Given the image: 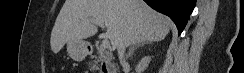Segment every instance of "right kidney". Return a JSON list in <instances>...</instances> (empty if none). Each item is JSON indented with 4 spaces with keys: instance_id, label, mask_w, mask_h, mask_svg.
<instances>
[{
    "instance_id": "right-kidney-1",
    "label": "right kidney",
    "mask_w": 244,
    "mask_h": 73,
    "mask_svg": "<svg viewBox=\"0 0 244 73\" xmlns=\"http://www.w3.org/2000/svg\"><path fill=\"white\" fill-rule=\"evenodd\" d=\"M150 61H151V57L149 56L142 58L136 66V72L137 73L143 72L148 67Z\"/></svg>"
}]
</instances>
